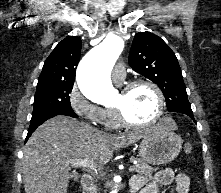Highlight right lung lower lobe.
<instances>
[{
    "label": "right lung lower lobe",
    "instance_id": "obj_1",
    "mask_svg": "<svg viewBox=\"0 0 221 193\" xmlns=\"http://www.w3.org/2000/svg\"><path fill=\"white\" fill-rule=\"evenodd\" d=\"M56 115H68L73 118H77L78 116L74 113V111H68V110H63V111H52V112H47L44 113L40 116L34 117L31 119L30 122V127L28 129V134L26 137V141L30 137V135L36 130V128L41 125L43 122H45L47 119L52 118Z\"/></svg>",
    "mask_w": 221,
    "mask_h": 193
}]
</instances>
